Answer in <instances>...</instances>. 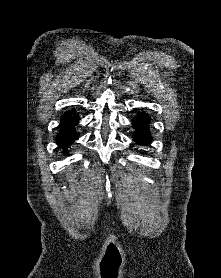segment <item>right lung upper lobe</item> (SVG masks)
I'll return each instance as SVG.
<instances>
[{
	"instance_id": "cb5924a9",
	"label": "right lung upper lobe",
	"mask_w": 221,
	"mask_h": 278,
	"mask_svg": "<svg viewBox=\"0 0 221 278\" xmlns=\"http://www.w3.org/2000/svg\"><path fill=\"white\" fill-rule=\"evenodd\" d=\"M73 114H74V111H73V110H70L69 112H67V113L62 117L61 121L64 120V119H66V118H68V117H70V116H72Z\"/></svg>"
}]
</instances>
